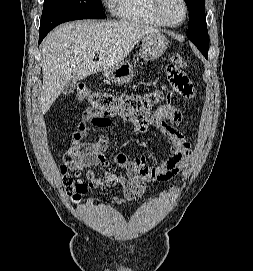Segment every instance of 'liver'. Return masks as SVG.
Returning <instances> with one entry per match:
<instances>
[{
	"mask_svg": "<svg viewBox=\"0 0 253 271\" xmlns=\"http://www.w3.org/2000/svg\"><path fill=\"white\" fill-rule=\"evenodd\" d=\"M154 32L158 30L129 21L82 20L56 27L41 44L42 114L67 84L119 65L143 37Z\"/></svg>",
	"mask_w": 253,
	"mask_h": 271,
	"instance_id": "6515ba94",
	"label": "liver"
}]
</instances>
